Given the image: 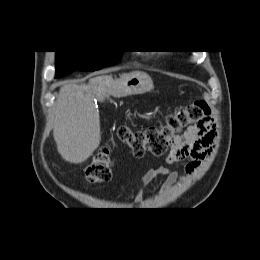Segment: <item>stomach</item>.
Listing matches in <instances>:
<instances>
[{
  "label": "stomach",
  "mask_w": 260,
  "mask_h": 260,
  "mask_svg": "<svg viewBox=\"0 0 260 260\" xmlns=\"http://www.w3.org/2000/svg\"><path fill=\"white\" fill-rule=\"evenodd\" d=\"M151 77L145 73H131L121 77L113 87L114 97L144 94L153 89Z\"/></svg>",
  "instance_id": "stomach-1"
}]
</instances>
